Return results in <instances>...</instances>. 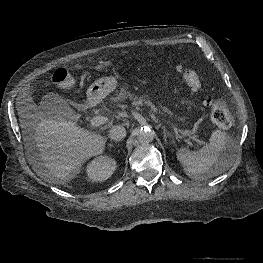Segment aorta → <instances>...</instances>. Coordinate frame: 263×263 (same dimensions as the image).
Segmentation results:
<instances>
[{
	"label": "aorta",
	"instance_id": "1",
	"mask_svg": "<svg viewBox=\"0 0 263 263\" xmlns=\"http://www.w3.org/2000/svg\"><path fill=\"white\" fill-rule=\"evenodd\" d=\"M137 139L141 144H148L154 139V131L149 128H141L137 133Z\"/></svg>",
	"mask_w": 263,
	"mask_h": 263
}]
</instances>
